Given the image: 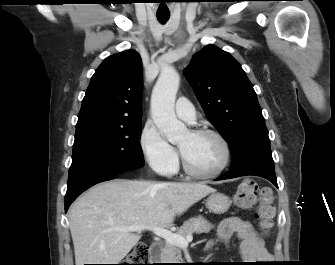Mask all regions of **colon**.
Wrapping results in <instances>:
<instances>
[{
    "mask_svg": "<svg viewBox=\"0 0 335 265\" xmlns=\"http://www.w3.org/2000/svg\"><path fill=\"white\" fill-rule=\"evenodd\" d=\"M235 202L244 209L257 204L256 213L261 230L267 233L271 229L276 208L270 188L260 187L255 180L246 179L237 189ZM149 255V248L144 244H138L127 256L126 264L122 265H148Z\"/></svg>",
    "mask_w": 335,
    "mask_h": 265,
    "instance_id": "obj_1",
    "label": "colon"
}]
</instances>
